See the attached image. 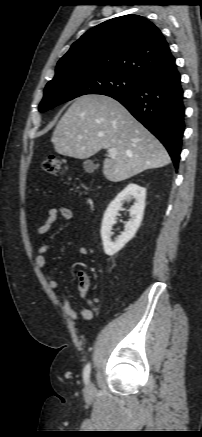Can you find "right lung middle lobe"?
<instances>
[{"label": "right lung middle lobe", "instance_id": "right-lung-middle-lobe-1", "mask_svg": "<svg viewBox=\"0 0 202 437\" xmlns=\"http://www.w3.org/2000/svg\"><path fill=\"white\" fill-rule=\"evenodd\" d=\"M140 79L121 73L69 72L51 80L45 87L39 111H47L57 105L86 94L114 95L134 90Z\"/></svg>", "mask_w": 202, "mask_h": 437}]
</instances>
